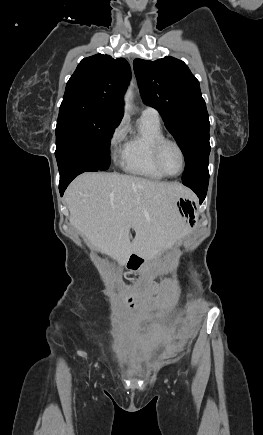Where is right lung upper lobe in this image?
<instances>
[{
    "label": "right lung upper lobe",
    "mask_w": 263,
    "mask_h": 435,
    "mask_svg": "<svg viewBox=\"0 0 263 435\" xmlns=\"http://www.w3.org/2000/svg\"><path fill=\"white\" fill-rule=\"evenodd\" d=\"M130 78V66L124 58L103 54L84 58L67 82L60 108H89L120 122L122 96Z\"/></svg>",
    "instance_id": "cb5924a9"
}]
</instances>
